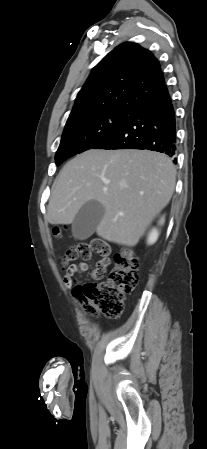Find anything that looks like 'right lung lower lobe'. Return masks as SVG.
I'll return each instance as SVG.
<instances>
[{"mask_svg": "<svg viewBox=\"0 0 207 449\" xmlns=\"http://www.w3.org/2000/svg\"><path fill=\"white\" fill-rule=\"evenodd\" d=\"M176 140V115L168 92L135 110L121 128L93 148L148 149L174 157Z\"/></svg>", "mask_w": 207, "mask_h": 449, "instance_id": "1", "label": "right lung lower lobe"}]
</instances>
